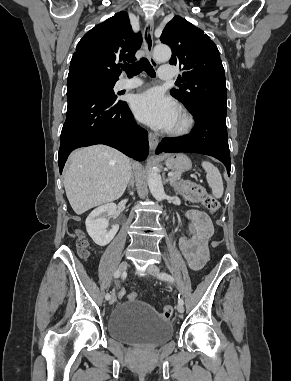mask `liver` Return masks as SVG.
<instances>
[{
    "label": "liver",
    "instance_id": "6515ba94",
    "mask_svg": "<svg viewBox=\"0 0 291 381\" xmlns=\"http://www.w3.org/2000/svg\"><path fill=\"white\" fill-rule=\"evenodd\" d=\"M131 177L130 159L106 145L73 151L64 174L69 203L77 215L119 199Z\"/></svg>",
    "mask_w": 291,
    "mask_h": 381
}]
</instances>
